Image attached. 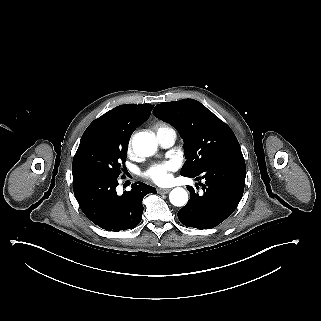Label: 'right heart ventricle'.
Here are the masks:
<instances>
[{"label": "right heart ventricle", "instance_id": "1", "mask_svg": "<svg viewBox=\"0 0 321 321\" xmlns=\"http://www.w3.org/2000/svg\"><path fill=\"white\" fill-rule=\"evenodd\" d=\"M154 126L157 130V133H160L162 131L168 130L171 127L163 120H155L154 121Z\"/></svg>", "mask_w": 321, "mask_h": 321}]
</instances>
